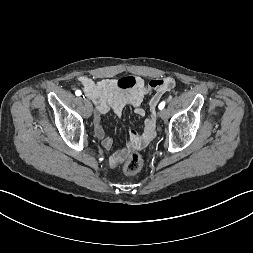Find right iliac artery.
Returning a JSON list of instances; mask_svg holds the SVG:
<instances>
[{"label": "right iliac artery", "instance_id": "right-iliac-artery-1", "mask_svg": "<svg viewBox=\"0 0 253 253\" xmlns=\"http://www.w3.org/2000/svg\"><path fill=\"white\" fill-rule=\"evenodd\" d=\"M75 94H76L77 96H80L82 93H81L80 90H76ZM83 97H84V96H83Z\"/></svg>", "mask_w": 253, "mask_h": 253}]
</instances>
